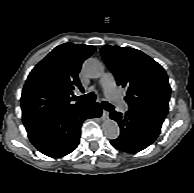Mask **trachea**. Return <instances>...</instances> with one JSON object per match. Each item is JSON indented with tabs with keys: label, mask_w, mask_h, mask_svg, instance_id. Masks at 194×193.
Returning a JSON list of instances; mask_svg holds the SVG:
<instances>
[{
	"label": "trachea",
	"mask_w": 194,
	"mask_h": 193,
	"mask_svg": "<svg viewBox=\"0 0 194 193\" xmlns=\"http://www.w3.org/2000/svg\"><path fill=\"white\" fill-rule=\"evenodd\" d=\"M96 99V96L93 92L88 93L86 95L83 96H79V97H74L75 101H79V102H83V103H93ZM102 106L105 110L107 111H112L114 109V106H112L110 103L106 102V101H102Z\"/></svg>",
	"instance_id": "obj_1"
}]
</instances>
